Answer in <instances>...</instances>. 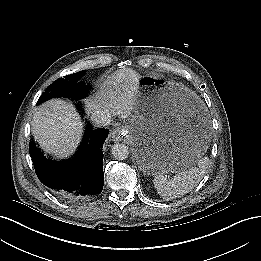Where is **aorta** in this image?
Wrapping results in <instances>:
<instances>
[{"label": "aorta", "mask_w": 261, "mask_h": 261, "mask_svg": "<svg viewBox=\"0 0 261 261\" xmlns=\"http://www.w3.org/2000/svg\"><path fill=\"white\" fill-rule=\"evenodd\" d=\"M112 155L117 160H125L129 156V149L125 144H115L112 147Z\"/></svg>", "instance_id": "aorta-1"}]
</instances>
